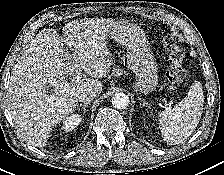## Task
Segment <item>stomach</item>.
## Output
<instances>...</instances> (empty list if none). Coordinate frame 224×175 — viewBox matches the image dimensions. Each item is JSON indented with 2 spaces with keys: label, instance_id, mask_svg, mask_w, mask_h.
Segmentation results:
<instances>
[{
  "label": "stomach",
  "instance_id": "obj_1",
  "mask_svg": "<svg viewBox=\"0 0 224 175\" xmlns=\"http://www.w3.org/2000/svg\"><path fill=\"white\" fill-rule=\"evenodd\" d=\"M108 34L127 48V63L135 74L134 89L145 94L154 91L158 83L157 62L141 28L116 22Z\"/></svg>",
  "mask_w": 224,
  "mask_h": 175
}]
</instances>
